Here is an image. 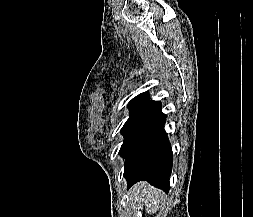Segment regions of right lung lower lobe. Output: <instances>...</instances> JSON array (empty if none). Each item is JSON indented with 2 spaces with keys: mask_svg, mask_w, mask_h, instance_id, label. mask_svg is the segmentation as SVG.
Segmentation results:
<instances>
[{
  "mask_svg": "<svg viewBox=\"0 0 253 217\" xmlns=\"http://www.w3.org/2000/svg\"><path fill=\"white\" fill-rule=\"evenodd\" d=\"M165 120L161 103L153 102L125 135L119 153L125 158L124 176L128 188L145 180L157 188L169 190L173 155L163 129Z\"/></svg>",
  "mask_w": 253,
  "mask_h": 217,
  "instance_id": "98d812e1",
  "label": "right lung lower lobe"
}]
</instances>
